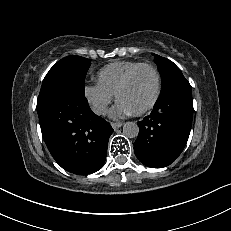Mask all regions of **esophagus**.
I'll return each mask as SVG.
<instances>
[{"label": "esophagus", "instance_id": "esophagus-1", "mask_svg": "<svg viewBox=\"0 0 231 231\" xmlns=\"http://www.w3.org/2000/svg\"><path fill=\"white\" fill-rule=\"evenodd\" d=\"M123 124L121 122H112L111 126L114 130L120 128Z\"/></svg>", "mask_w": 231, "mask_h": 231}]
</instances>
